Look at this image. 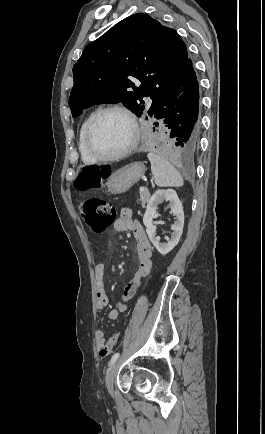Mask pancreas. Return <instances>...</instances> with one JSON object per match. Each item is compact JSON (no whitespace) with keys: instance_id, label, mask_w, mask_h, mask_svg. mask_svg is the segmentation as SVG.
<instances>
[{"instance_id":"cf45deb5","label":"pancreas","mask_w":265,"mask_h":434,"mask_svg":"<svg viewBox=\"0 0 265 434\" xmlns=\"http://www.w3.org/2000/svg\"><path fill=\"white\" fill-rule=\"evenodd\" d=\"M149 198H150V192L149 190H147V188H145L144 192H140L139 202H141L142 208H145V204L149 202Z\"/></svg>"}]
</instances>
